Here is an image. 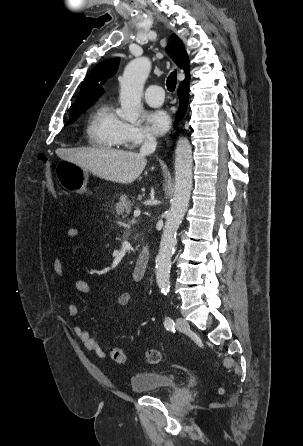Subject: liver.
Here are the masks:
<instances>
[{"label": "liver", "instance_id": "obj_1", "mask_svg": "<svg viewBox=\"0 0 303 446\" xmlns=\"http://www.w3.org/2000/svg\"><path fill=\"white\" fill-rule=\"evenodd\" d=\"M57 155L90 171L93 175L115 183L130 184L143 172L145 155L105 148L58 149Z\"/></svg>", "mask_w": 303, "mask_h": 446}]
</instances>
